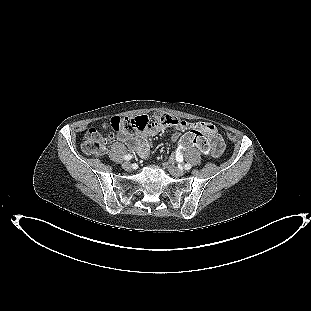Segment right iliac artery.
I'll use <instances>...</instances> for the list:
<instances>
[{
    "label": "right iliac artery",
    "instance_id": "1",
    "mask_svg": "<svg viewBox=\"0 0 311 311\" xmlns=\"http://www.w3.org/2000/svg\"><path fill=\"white\" fill-rule=\"evenodd\" d=\"M124 159H125V160H130V159H132V155H130V154L125 155V156H124Z\"/></svg>",
    "mask_w": 311,
    "mask_h": 311
}]
</instances>
